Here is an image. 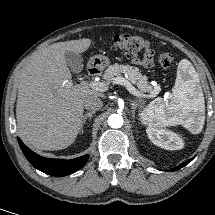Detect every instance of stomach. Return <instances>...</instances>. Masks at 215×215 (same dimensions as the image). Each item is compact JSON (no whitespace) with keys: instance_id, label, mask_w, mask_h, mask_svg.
<instances>
[{"instance_id":"1","label":"stomach","mask_w":215,"mask_h":215,"mask_svg":"<svg viewBox=\"0 0 215 215\" xmlns=\"http://www.w3.org/2000/svg\"><path fill=\"white\" fill-rule=\"evenodd\" d=\"M90 65L98 70H103L105 67H107L110 64V60L107 56L104 55H95L93 56L90 61ZM144 124H148L144 120H142Z\"/></svg>"}]
</instances>
